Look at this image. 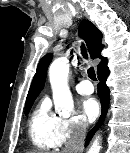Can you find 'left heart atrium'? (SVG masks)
I'll return each instance as SVG.
<instances>
[{
  "mask_svg": "<svg viewBox=\"0 0 130 153\" xmlns=\"http://www.w3.org/2000/svg\"><path fill=\"white\" fill-rule=\"evenodd\" d=\"M80 109L88 120H94L99 114V104L95 98L87 97L81 100Z\"/></svg>",
  "mask_w": 130,
  "mask_h": 153,
  "instance_id": "obj_1",
  "label": "left heart atrium"
}]
</instances>
